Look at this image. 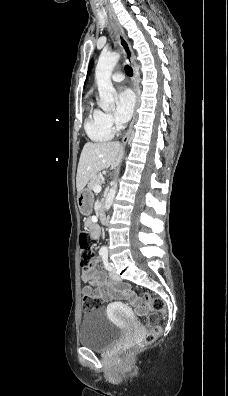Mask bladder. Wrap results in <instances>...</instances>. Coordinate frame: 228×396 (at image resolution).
I'll return each mask as SVG.
<instances>
[{"instance_id":"1","label":"bladder","mask_w":228,"mask_h":396,"mask_svg":"<svg viewBox=\"0 0 228 396\" xmlns=\"http://www.w3.org/2000/svg\"><path fill=\"white\" fill-rule=\"evenodd\" d=\"M122 329L113 324L103 309L87 312L79 329V343L95 351H105L121 337Z\"/></svg>"}]
</instances>
